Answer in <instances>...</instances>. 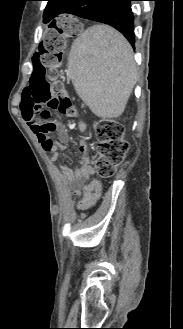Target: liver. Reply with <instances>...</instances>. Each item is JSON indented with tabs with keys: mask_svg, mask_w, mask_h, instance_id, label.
Here are the masks:
<instances>
[{
	"mask_svg": "<svg viewBox=\"0 0 183 329\" xmlns=\"http://www.w3.org/2000/svg\"><path fill=\"white\" fill-rule=\"evenodd\" d=\"M68 73L78 96L101 118H116L137 82L134 53L126 38L108 25L87 28L71 46Z\"/></svg>",
	"mask_w": 183,
	"mask_h": 329,
	"instance_id": "6515ba94",
	"label": "liver"
}]
</instances>
